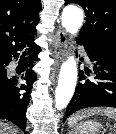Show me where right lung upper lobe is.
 I'll list each match as a JSON object with an SVG mask.
<instances>
[{"label": "right lung upper lobe", "instance_id": "right-lung-upper-lobe-1", "mask_svg": "<svg viewBox=\"0 0 116 134\" xmlns=\"http://www.w3.org/2000/svg\"><path fill=\"white\" fill-rule=\"evenodd\" d=\"M41 0H0V62L34 43Z\"/></svg>", "mask_w": 116, "mask_h": 134}]
</instances>
